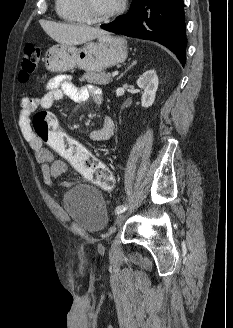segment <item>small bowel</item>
Wrapping results in <instances>:
<instances>
[{"label": "small bowel", "instance_id": "obj_1", "mask_svg": "<svg viewBox=\"0 0 233 328\" xmlns=\"http://www.w3.org/2000/svg\"><path fill=\"white\" fill-rule=\"evenodd\" d=\"M65 96L76 102L85 101L89 97H92L96 104L103 102V95L100 88L93 85L78 87L66 75H59L51 79L47 83L46 91L42 96L23 97L20 101V130L34 150L37 161L42 166L44 182L47 185H53L54 180L67 171V164L62 160L54 158L52 152L45 147L44 142L33 134L31 117L37 108L43 110L49 109L55 102ZM113 132L114 123L110 117L106 116L101 128L93 130L90 133V138L94 141H106L111 138ZM69 184L66 181L59 183L63 187H67Z\"/></svg>", "mask_w": 233, "mask_h": 328}]
</instances>
